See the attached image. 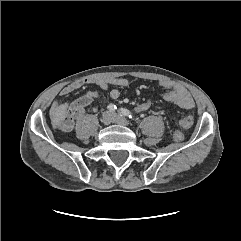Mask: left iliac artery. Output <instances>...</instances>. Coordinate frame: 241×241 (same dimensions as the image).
<instances>
[{
  "label": "left iliac artery",
  "mask_w": 241,
  "mask_h": 241,
  "mask_svg": "<svg viewBox=\"0 0 241 241\" xmlns=\"http://www.w3.org/2000/svg\"><path fill=\"white\" fill-rule=\"evenodd\" d=\"M119 112L124 115V116H127L129 119L133 120L134 119V116L132 115V113L128 110V109H125V108H121L119 110Z\"/></svg>",
  "instance_id": "44dca946"
}]
</instances>
